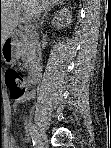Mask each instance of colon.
<instances>
[{
	"label": "colon",
	"mask_w": 111,
	"mask_h": 148,
	"mask_svg": "<svg viewBox=\"0 0 111 148\" xmlns=\"http://www.w3.org/2000/svg\"><path fill=\"white\" fill-rule=\"evenodd\" d=\"M21 75L14 70H10L6 73V81L9 86L10 95L14 99L22 98L26 90L23 86L20 85Z\"/></svg>",
	"instance_id": "colon-1"
}]
</instances>
